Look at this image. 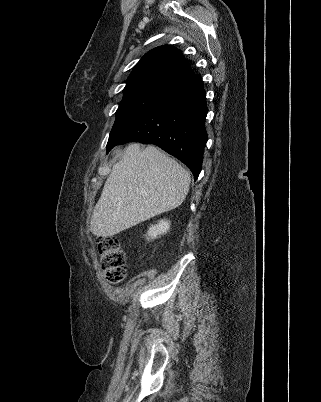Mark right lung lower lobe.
Instances as JSON below:
<instances>
[{
  "mask_svg": "<svg viewBox=\"0 0 321 402\" xmlns=\"http://www.w3.org/2000/svg\"><path fill=\"white\" fill-rule=\"evenodd\" d=\"M206 93L199 75L181 81L156 106L107 143V152L118 144H154L189 167L196 180L202 168L208 136Z\"/></svg>",
  "mask_w": 321,
  "mask_h": 402,
  "instance_id": "obj_1",
  "label": "right lung lower lobe"
}]
</instances>
